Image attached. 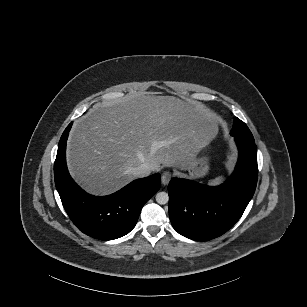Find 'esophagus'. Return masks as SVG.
Listing matches in <instances>:
<instances>
[{"instance_id": "1", "label": "esophagus", "mask_w": 307, "mask_h": 307, "mask_svg": "<svg viewBox=\"0 0 307 307\" xmlns=\"http://www.w3.org/2000/svg\"><path fill=\"white\" fill-rule=\"evenodd\" d=\"M171 179V172L165 171L162 173L161 181L163 185H167Z\"/></svg>"}]
</instances>
